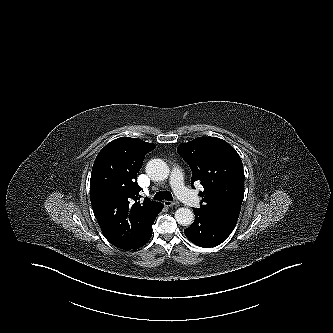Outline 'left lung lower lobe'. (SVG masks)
<instances>
[{
    "label": "left lung lower lobe",
    "instance_id": "left-lung-lower-lobe-1",
    "mask_svg": "<svg viewBox=\"0 0 333 333\" xmlns=\"http://www.w3.org/2000/svg\"><path fill=\"white\" fill-rule=\"evenodd\" d=\"M195 220L184 230L186 237L200 247H214L224 242L235 225L230 224L209 212L193 208Z\"/></svg>",
    "mask_w": 333,
    "mask_h": 333
}]
</instances>
